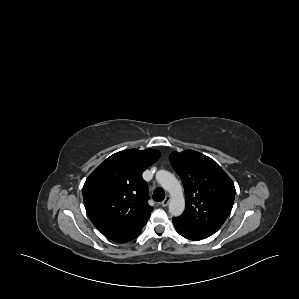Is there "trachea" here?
<instances>
[{
    "instance_id": "1",
    "label": "trachea",
    "mask_w": 299,
    "mask_h": 299,
    "mask_svg": "<svg viewBox=\"0 0 299 299\" xmlns=\"http://www.w3.org/2000/svg\"><path fill=\"white\" fill-rule=\"evenodd\" d=\"M164 198H165V192H164V190L161 189V188H157V189L154 191V193H153V199H154L155 201L160 202V201H162Z\"/></svg>"
}]
</instances>
